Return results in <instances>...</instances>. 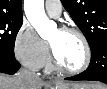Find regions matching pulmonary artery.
<instances>
[{
    "instance_id": "e3ab8cb5",
    "label": "pulmonary artery",
    "mask_w": 107,
    "mask_h": 89,
    "mask_svg": "<svg viewBox=\"0 0 107 89\" xmlns=\"http://www.w3.org/2000/svg\"><path fill=\"white\" fill-rule=\"evenodd\" d=\"M45 9L49 16L59 17L62 12V5L59 0H46Z\"/></svg>"
}]
</instances>
